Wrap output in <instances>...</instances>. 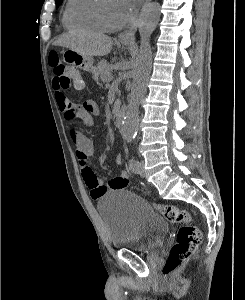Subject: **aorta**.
<instances>
[{
  "label": "aorta",
  "mask_w": 245,
  "mask_h": 300,
  "mask_svg": "<svg viewBox=\"0 0 245 300\" xmlns=\"http://www.w3.org/2000/svg\"><path fill=\"white\" fill-rule=\"evenodd\" d=\"M159 19L160 6L158 3H150L142 9L139 20L140 49L133 71L129 105L122 126L123 135L127 141H131L138 130L139 106L146 92L152 64L150 38Z\"/></svg>",
  "instance_id": "1"
}]
</instances>
